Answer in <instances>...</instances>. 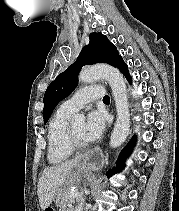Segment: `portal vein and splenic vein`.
I'll list each match as a JSON object with an SVG mask.
<instances>
[{
  "mask_svg": "<svg viewBox=\"0 0 179 211\" xmlns=\"http://www.w3.org/2000/svg\"><path fill=\"white\" fill-rule=\"evenodd\" d=\"M70 196L71 197H78L79 196V192H71Z\"/></svg>",
  "mask_w": 179,
  "mask_h": 211,
  "instance_id": "portal-vein-and-splenic-vein-1",
  "label": "portal vein and splenic vein"
}]
</instances>
